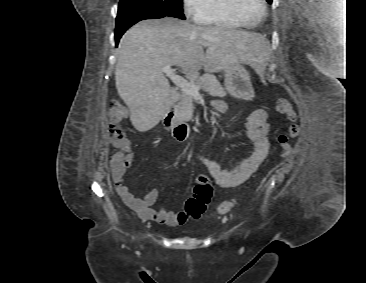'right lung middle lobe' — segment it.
<instances>
[{"label": "right lung middle lobe", "mask_w": 366, "mask_h": 283, "mask_svg": "<svg viewBox=\"0 0 366 283\" xmlns=\"http://www.w3.org/2000/svg\"><path fill=\"white\" fill-rule=\"evenodd\" d=\"M140 13H154L185 19L182 0H120L117 18Z\"/></svg>", "instance_id": "obj_1"}]
</instances>
